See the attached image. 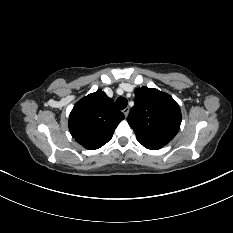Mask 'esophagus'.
Listing matches in <instances>:
<instances>
[{
	"label": "esophagus",
	"instance_id": "34e87169",
	"mask_svg": "<svg viewBox=\"0 0 233 233\" xmlns=\"http://www.w3.org/2000/svg\"><path fill=\"white\" fill-rule=\"evenodd\" d=\"M123 113H124L125 117H127L129 114V108L126 107L125 109H123Z\"/></svg>",
	"mask_w": 233,
	"mask_h": 233
}]
</instances>
